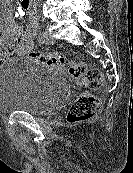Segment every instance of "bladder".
I'll return each instance as SVG.
<instances>
[{"instance_id":"obj_1","label":"bladder","mask_w":133,"mask_h":173,"mask_svg":"<svg viewBox=\"0 0 133 173\" xmlns=\"http://www.w3.org/2000/svg\"><path fill=\"white\" fill-rule=\"evenodd\" d=\"M69 93L68 80L56 69L22 57L0 66V113L49 116L60 108Z\"/></svg>"}]
</instances>
